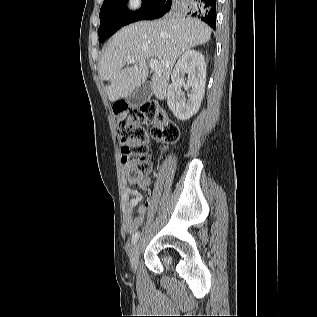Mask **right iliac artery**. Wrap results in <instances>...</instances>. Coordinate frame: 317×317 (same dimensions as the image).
Returning <instances> with one entry per match:
<instances>
[{
	"instance_id": "obj_1",
	"label": "right iliac artery",
	"mask_w": 317,
	"mask_h": 317,
	"mask_svg": "<svg viewBox=\"0 0 317 317\" xmlns=\"http://www.w3.org/2000/svg\"><path fill=\"white\" fill-rule=\"evenodd\" d=\"M139 238V232H136L132 237V244H135Z\"/></svg>"
}]
</instances>
